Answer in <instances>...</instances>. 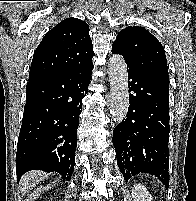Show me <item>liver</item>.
<instances>
[{
    "instance_id": "liver-1",
    "label": "liver",
    "mask_w": 196,
    "mask_h": 201,
    "mask_svg": "<svg viewBox=\"0 0 196 201\" xmlns=\"http://www.w3.org/2000/svg\"><path fill=\"white\" fill-rule=\"evenodd\" d=\"M43 176L40 171H30L22 176L20 180V190L23 193L31 190L36 184L42 180Z\"/></svg>"
}]
</instances>
